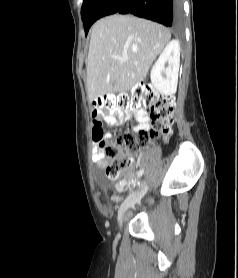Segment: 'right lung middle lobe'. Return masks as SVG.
<instances>
[{
	"label": "right lung middle lobe",
	"mask_w": 238,
	"mask_h": 278,
	"mask_svg": "<svg viewBox=\"0 0 238 278\" xmlns=\"http://www.w3.org/2000/svg\"><path fill=\"white\" fill-rule=\"evenodd\" d=\"M98 0H84L82 8H81V17L82 21L85 20L87 12L89 9L97 2ZM84 29H85V22H84ZM86 33V31H85ZM87 34V33H86Z\"/></svg>",
	"instance_id": "obj_1"
}]
</instances>
